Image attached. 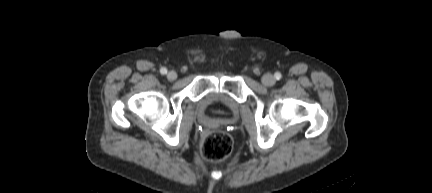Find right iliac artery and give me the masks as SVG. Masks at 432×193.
<instances>
[{
  "label": "right iliac artery",
  "instance_id": "obj_1",
  "mask_svg": "<svg viewBox=\"0 0 432 193\" xmlns=\"http://www.w3.org/2000/svg\"><path fill=\"white\" fill-rule=\"evenodd\" d=\"M160 73L163 74V75L166 74L167 73V69L165 67H162L160 69Z\"/></svg>",
  "mask_w": 432,
  "mask_h": 193
}]
</instances>
